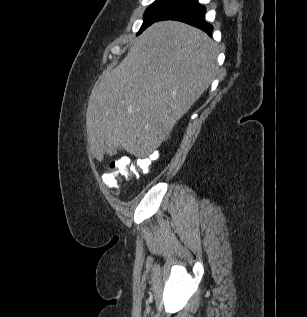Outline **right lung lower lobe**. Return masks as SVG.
<instances>
[{
    "instance_id": "98d812e1",
    "label": "right lung lower lobe",
    "mask_w": 307,
    "mask_h": 317,
    "mask_svg": "<svg viewBox=\"0 0 307 317\" xmlns=\"http://www.w3.org/2000/svg\"><path fill=\"white\" fill-rule=\"evenodd\" d=\"M205 13V6L199 4L198 0H174L154 22L162 20L181 21L199 28L211 36L213 26L205 21Z\"/></svg>"
}]
</instances>
